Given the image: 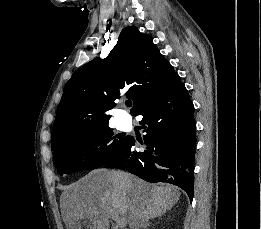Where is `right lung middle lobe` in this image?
I'll list each match as a JSON object with an SVG mask.
<instances>
[{
    "mask_svg": "<svg viewBox=\"0 0 261 229\" xmlns=\"http://www.w3.org/2000/svg\"><path fill=\"white\" fill-rule=\"evenodd\" d=\"M67 132L68 137L53 151L54 162L60 175L103 167L117 156L130 140L127 137H113L114 133L108 122L71 127Z\"/></svg>",
    "mask_w": 261,
    "mask_h": 229,
    "instance_id": "1",
    "label": "right lung middle lobe"
}]
</instances>
